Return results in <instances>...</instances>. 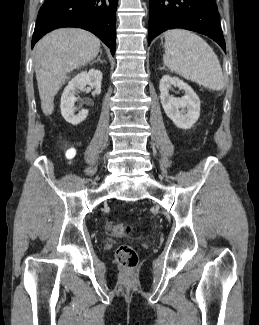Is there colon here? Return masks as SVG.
<instances>
[{"mask_svg":"<svg viewBox=\"0 0 259 325\" xmlns=\"http://www.w3.org/2000/svg\"><path fill=\"white\" fill-rule=\"evenodd\" d=\"M75 151L69 149L66 152L68 158H73ZM132 231L130 225L125 223H114L109 226V233L114 237H124ZM116 261L125 269H133L138 263V255L136 250L127 244L120 245L116 250Z\"/></svg>","mask_w":259,"mask_h":325,"instance_id":"colon-1","label":"colon"}]
</instances>
